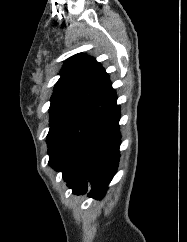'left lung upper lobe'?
Listing matches in <instances>:
<instances>
[{
	"label": "left lung upper lobe",
	"instance_id": "5c2ea615",
	"mask_svg": "<svg viewBox=\"0 0 187 242\" xmlns=\"http://www.w3.org/2000/svg\"><path fill=\"white\" fill-rule=\"evenodd\" d=\"M51 97L49 165L57 169L78 139L116 103L109 74L86 54L66 60Z\"/></svg>",
	"mask_w": 187,
	"mask_h": 242
}]
</instances>
